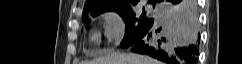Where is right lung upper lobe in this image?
Masks as SVG:
<instances>
[{
    "instance_id": "obj_1",
    "label": "right lung upper lobe",
    "mask_w": 242,
    "mask_h": 64,
    "mask_svg": "<svg viewBox=\"0 0 242 64\" xmlns=\"http://www.w3.org/2000/svg\"><path fill=\"white\" fill-rule=\"evenodd\" d=\"M139 0H86L83 15L132 8ZM157 0H148L154 4ZM82 15V16H83Z\"/></svg>"
}]
</instances>
